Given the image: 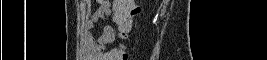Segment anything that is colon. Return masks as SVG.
I'll list each match as a JSON object with an SVG mask.
<instances>
[{
  "instance_id": "colon-1",
  "label": "colon",
  "mask_w": 267,
  "mask_h": 60,
  "mask_svg": "<svg viewBox=\"0 0 267 60\" xmlns=\"http://www.w3.org/2000/svg\"><path fill=\"white\" fill-rule=\"evenodd\" d=\"M138 10L134 0L114 1L112 19L117 24L120 35L125 36L134 28ZM110 59L127 60V54L123 50H117Z\"/></svg>"
}]
</instances>
